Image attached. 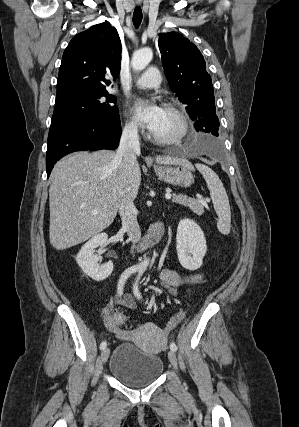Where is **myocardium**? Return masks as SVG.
Instances as JSON below:
<instances>
[{"instance_id": "obj_1", "label": "myocardium", "mask_w": 299, "mask_h": 427, "mask_svg": "<svg viewBox=\"0 0 299 427\" xmlns=\"http://www.w3.org/2000/svg\"><path fill=\"white\" fill-rule=\"evenodd\" d=\"M164 110L175 116L178 121L179 129L175 134L171 136H158L152 133V139L156 143L162 145H171L178 143L183 140L189 132V123L187 117L179 107L172 103H166L164 105Z\"/></svg>"}]
</instances>
